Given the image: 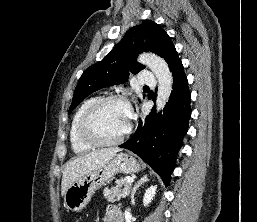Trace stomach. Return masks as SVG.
<instances>
[{"mask_svg":"<svg viewBox=\"0 0 257 222\" xmlns=\"http://www.w3.org/2000/svg\"><path fill=\"white\" fill-rule=\"evenodd\" d=\"M139 170L140 164L135 158L120 153L69 185L64 195V205L72 212H80L89 203L94 192L117 173L132 174Z\"/></svg>","mask_w":257,"mask_h":222,"instance_id":"1","label":"stomach"}]
</instances>
